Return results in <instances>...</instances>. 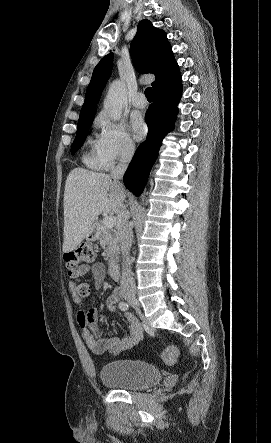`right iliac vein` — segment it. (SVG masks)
I'll use <instances>...</instances> for the list:
<instances>
[{"label": "right iliac vein", "instance_id": "right-iliac-vein-1", "mask_svg": "<svg viewBox=\"0 0 271 443\" xmlns=\"http://www.w3.org/2000/svg\"><path fill=\"white\" fill-rule=\"evenodd\" d=\"M125 299L132 304L139 305L135 294H128L125 296Z\"/></svg>", "mask_w": 271, "mask_h": 443}]
</instances>
